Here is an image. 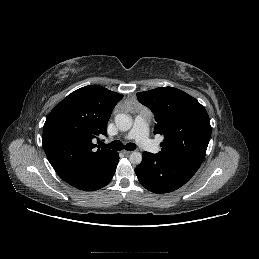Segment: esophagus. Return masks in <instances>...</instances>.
<instances>
[{
	"instance_id": "1",
	"label": "esophagus",
	"mask_w": 259,
	"mask_h": 259,
	"mask_svg": "<svg viewBox=\"0 0 259 259\" xmlns=\"http://www.w3.org/2000/svg\"><path fill=\"white\" fill-rule=\"evenodd\" d=\"M122 153H123L124 155H129V154H131V151L123 150Z\"/></svg>"
}]
</instances>
